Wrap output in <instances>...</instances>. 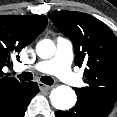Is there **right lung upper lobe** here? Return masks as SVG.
I'll return each instance as SVG.
<instances>
[{
    "label": "right lung upper lobe",
    "mask_w": 117,
    "mask_h": 117,
    "mask_svg": "<svg viewBox=\"0 0 117 117\" xmlns=\"http://www.w3.org/2000/svg\"><path fill=\"white\" fill-rule=\"evenodd\" d=\"M48 19L45 15H0V105L7 102L25 83L9 77L2 71L10 66L11 56L34 41L44 31Z\"/></svg>",
    "instance_id": "1"
}]
</instances>
